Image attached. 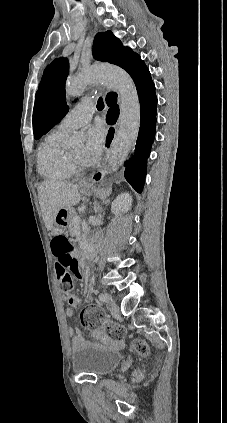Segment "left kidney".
Here are the masks:
<instances>
[{
  "label": "left kidney",
  "mask_w": 227,
  "mask_h": 423,
  "mask_svg": "<svg viewBox=\"0 0 227 423\" xmlns=\"http://www.w3.org/2000/svg\"><path fill=\"white\" fill-rule=\"evenodd\" d=\"M131 206L132 196H130V194H120V196H117L116 200H114L111 206V211L112 213L119 215L120 211L126 213V211L131 210Z\"/></svg>",
  "instance_id": "obj_1"
}]
</instances>
